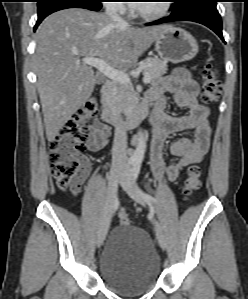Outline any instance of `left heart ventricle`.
<instances>
[{
  "label": "left heart ventricle",
  "instance_id": "b2bd125f",
  "mask_svg": "<svg viewBox=\"0 0 248 299\" xmlns=\"http://www.w3.org/2000/svg\"><path fill=\"white\" fill-rule=\"evenodd\" d=\"M160 5V1H151L144 4H141L140 9L144 11H150L158 8Z\"/></svg>",
  "mask_w": 248,
  "mask_h": 299
}]
</instances>
